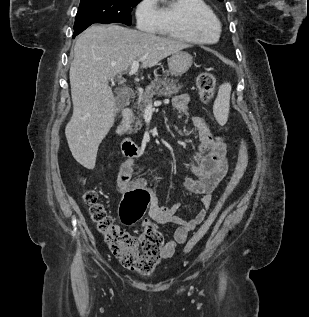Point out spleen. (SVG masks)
<instances>
[{
	"label": "spleen",
	"mask_w": 309,
	"mask_h": 317,
	"mask_svg": "<svg viewBox=\"0 0 309 317\" xmlns=\"http://www.w3.org/2000/svg\"><path fill=\"white\" fill-rule=\"evenodd\" d=\"M231 84L226 82L219 87L217 98L214 102L213 113L219 124L227 122L230 109Z\"/></svg>",
	"instance_id": "3e777b00"
}]
</instances>
